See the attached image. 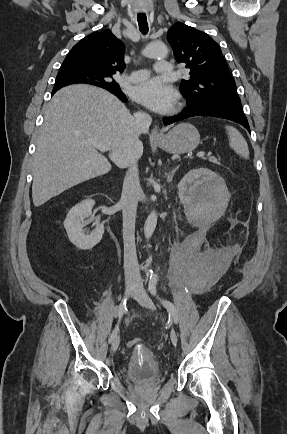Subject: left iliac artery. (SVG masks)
<instances>
[{
  "label": "left iliac artery",
  "instance_id": "left-iliac-artery-1",
  "mask_svg": "<svg viewBox=\"0 0 287 434\" xmlns=\"http://www.w3.org/2000/svg\"><path fill=\"white\" fill-rule=\"evenodd\" d=\"M157 274L154 272H151L150 275V280H149V285H148V289L149 292L151 293L152 296L156 297L157 300L160 301V303L167 309V312L169 314V318H173L175 323H178V315H177V310L175 308V306L173 305L172 302H170L169 300L166 299H162L157 295V289H156V285H157Z\"/></svg>",
  "mask_w": 287,
  "mask_h": 434
}]
</instances>
